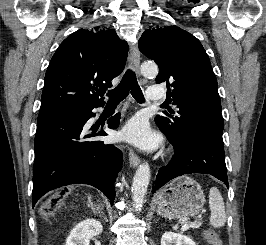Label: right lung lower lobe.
I'll return each instance as SVG.
<instances>
[{
    "instance_id": "1",
    "label": "right lung lower lobe",
    "mask_w": 266,
    "mask_h": 245,
    "mask_svg": "<svg viewBox=\"0 0 266 245\" xmlns=\"http://www.w3.org/2000/svg\"><path fill=\"white\" fill-rule=\"evenodd\" d=\"M103 103L76 108L38 122L35 136L32 206L48 191L64 185L84 183L101 190L113 205L114 181L122 164V152L112 144L91 139L107 136L104 130L86 122L95 114L93 108ZM119 114L106 124L119 125Z\"/></svg>"
}]
</instances>
